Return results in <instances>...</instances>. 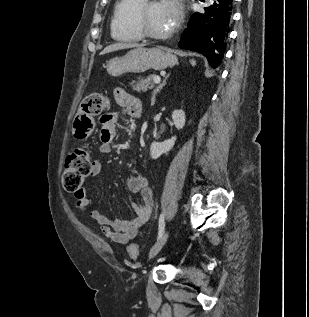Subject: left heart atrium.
Masks as SVG:
<instances>
[{"mask_svg": "<svg viewBox=\"0 0 309 317\" xmlns=\"http://www.w3.org/2000/svg\"><path fill=\"white\" fill-rule=\"evenodd\" d=\"M164 5L171 15L174 23L176 24L180 20L182 15V7L179 0H166L164 2Z\"/></svg>", "mask_w": 309, "mask_h": 317, "instance_id": "1", "label": "left heart atrium"}]
</instances>
